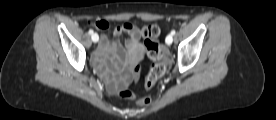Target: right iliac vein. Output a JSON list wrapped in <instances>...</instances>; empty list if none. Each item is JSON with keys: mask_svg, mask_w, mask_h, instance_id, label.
<instances>
[{"mask_svg": "<svg viewBox=\"0 0 276 120\" xmlns=\"http://www.w3.org/2000/svg\"><path fill=\"white\" fill-rule=\"evenodd\" d=\"M92 40H93V42H98V34H96V33H94L93 35H92Z\"/></svg>", "mask_w": 276, "mask_h": 120, "instance_id": "63e3f726", "label": "right iliac vein"}]
</instances>
